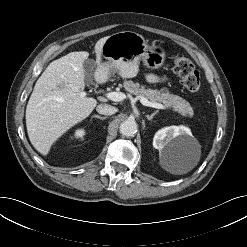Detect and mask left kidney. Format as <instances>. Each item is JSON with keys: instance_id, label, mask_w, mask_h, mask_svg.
<instances>
[{"instance_id": "left-kidney-1", "label": "left kidney", "mask_w": 247, "mask_h": 247, "mask_svg": "<svg viewBox=\"0 0 247 247\" xmlns=\"http://www.w3.org/2000/svg\"><path fill=\"white\" fill-rule=\"evenodd\" d=\"M196 140L189 128L185 126H169L159 130L153 139V147L160 155L172 159H185Z\"/></svg>"}]
</instances>
